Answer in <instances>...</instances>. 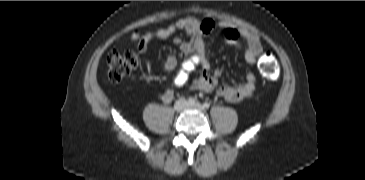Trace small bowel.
I'll return each mask as SVG.
<instances>
[{
  "label": "small bowel",
  "instance_id": "obj_1",
  "mask_svg": "<svg viewBox=\"0 0 365 180\" xmlns=\"http://www.w3.org/2000/svg\"><path fill=\"white\" fill-rule=\"evenodd\" d=\"M219 26L225 29L226 38L230 42L239 44L243 50L245 61L250 65L256 64L258 56L262 52L261 38L257 33L231 24L219 25L210 19L200 20L195 17L178 19L165 28L147 32L141 38L138 48L141 52H145L148 43L152 40H164L176 31H183L189 36V40L185 41L180 37H175L173 40L185 55L180 73L175 79L176 85L182 86L197 70V76L192 78L190 82L192 89L207 92L217 88L216 93L219 97L231 103L240 102L255 93L257 76L254 72L249 71L245 74L244 82L217 87L223 70L221 68L211 70L210 62L205 54V37ZM177 65V58L174 55H169L165 59L163 69L171 72L177 68ZM173 96V91L168 90L163 94L162 99L168 103L173 99Z\"/></svg>",
  "mask_w": 365,
  "mask_h": 180
}]
</instances>
